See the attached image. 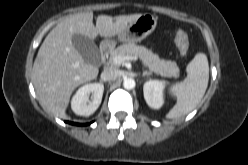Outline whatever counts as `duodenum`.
<instances>
[{
	"label": "duodenum",
	"mask_w": 248,
	"mask_h": 165,
	"mask_svg": "<svg viewBox=\"0 0 248 165\" xmlns=\"http://www.w3.org/2000/svg\"><path fill=\"white\" fill-rule=\"evenodd\" d=\"M110 51V44L108 43H105L103 44L101 47H100V51H99V54H100V59H101V62L104 64L105 63V60L107 58V55Z\"/></svg>",
	"instance_id": "obj_1"
}]
</instances>
